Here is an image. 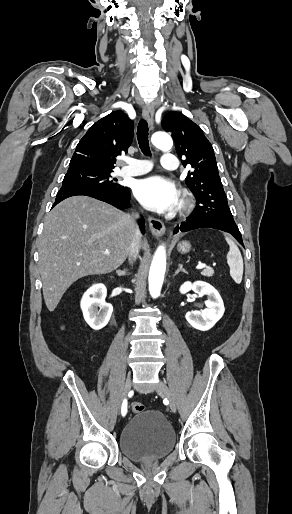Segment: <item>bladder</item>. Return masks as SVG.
<instances>
[{"mask_svg": "<svg viewBox=\"0 0 292 514\" xmlns=\"http://www.w3.org/2000/svg\"><path fill=\"white\" fill-rule=\"evenodd\" d=\"M176 435L157 410L134 414L123 426L118 445L121 453L133 461H152L168 455L175 447Z\"/></svg>", "mask_w": 292, "mask_h": 514, "instance_id": "bladder-1", "label": "bladder"}]
</instances>
